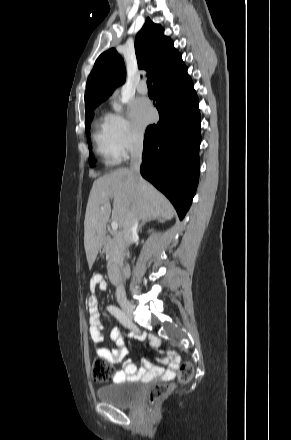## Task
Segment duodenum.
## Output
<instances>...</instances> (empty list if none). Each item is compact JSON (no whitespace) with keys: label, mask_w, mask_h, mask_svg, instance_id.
<instances>
[{"label":"duodenum","mask_w":291,"mask_h":440,"mask_svg":"<svg viewBox=\"0 0 291 440\" xmlns=\"http://www.w3.org/2000/svg\"><path fill=\"white\" fill-rule=\"evenodd\" d=\"M109 278L111 282L117 284L119 282V272L115 265H111L108 271Z\"/></svg>","instance_id":"1"}]
</instances>
